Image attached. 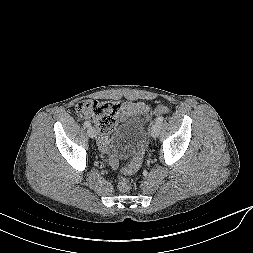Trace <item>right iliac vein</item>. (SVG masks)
Returning <instances> with one entry per match:
<instances>
[{
	"label": "right iliac vein",
	"instance_id": "obj_1",
	"mask_svg": "<svg viewBox=\"0 0 253 253\" xmlns=\"http://www.w3.org/2000/svg\"><path fill=\"white\" fill-rule=\"evenodd\" d=\"M87 133L91 138H95L97 136V131L94 127H89Z\"/></svg>",
	"mask_w": 253,
	"mask_h": 253
}]
</instances>
